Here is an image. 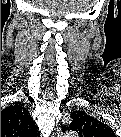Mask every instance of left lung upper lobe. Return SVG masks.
I'll list each match as a JSON object with an SVG mask.
<instances>
[{
	"mask_svg": "<svg viewBox=\"0 0 121 137\" xmlns=\"http://www.w3.org/2000/svg\"><path fill=\"white\" fill-rule=\"evenodd\" d=\"M72 123L63 127L62 130H75L79 134H85L97 137H112L113 130L99 119L94 118L84 111H75L72 113Z\"/></svg>",
	"mask_w": 121,
	"mask_h": 137,
	"instance_id": "obj_1",
	"label": "left lung upper lobe"
}]
</instances>
